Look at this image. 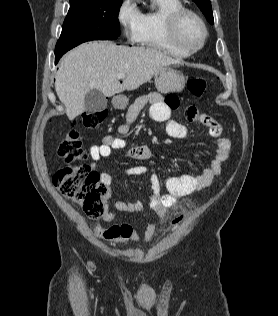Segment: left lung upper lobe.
Instances as JSON below:
<instances>
[{"mask_svg": "<svg viewBox=\"0 0 278 316\" xmlns=\"http://www.w3.org/2000/svg\"><path fill=\"white\" fill-rule=\"evenodd\" d=\"M205 15L210 24H214L212 7L210 0H193Z\"/></svg>", "mask_w": 278, "mask_h": 316, "instance_id": "5c2ea615", "label": "left lung upper lobe"}]
</instances>
